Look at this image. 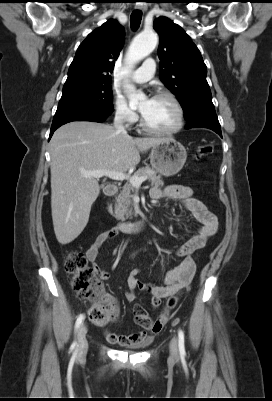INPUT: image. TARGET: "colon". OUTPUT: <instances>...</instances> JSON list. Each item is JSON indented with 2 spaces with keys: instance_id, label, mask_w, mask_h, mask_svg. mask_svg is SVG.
Masks as SVG:
<instances>
[{
  "instance_id": "obj_1",
  "label": "colon",
  "mask_w": 272,
  "mask_h": 401,
  "mask_svg": "<svg viewBox=\"0 0 272 401\" xmlns=\"http://www.w3.org/2000/svg\"><path fill=\"white\" fill-rule=\"evenodd\" d=\"M213 145L198 146L197 157L207 158L213 153ZM65 270L72 275V286L79 299L88 301L92 305L88 309V317L96 326H106L113 320V307L102 292L95 269L88 266L86 257L78 251H72L66 261ZM177 298L170 297L164 313L152 320L146 310L138 307L135 310V319L145 327L161 325L168 319L170 311L176 306Z\"/></svg>"
}]
</instances>
